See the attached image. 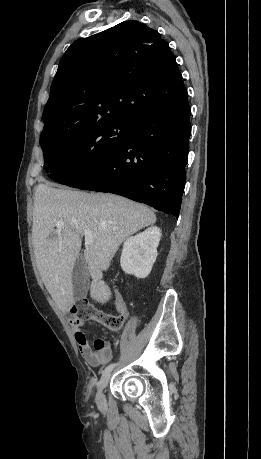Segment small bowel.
Instances as JSON below:
<instances>
[{
	"label": "small bowel",
	"mask_w": 261,
	"mask_h": 459,
	"mask_svg": "<svg viewBox=\"0 0 261 459\" xmlns=\"http://www.w3.org/2000/svg\"><path fill=\"white\" fill-rule=\"evenodd\" d=\"M114 304L118 312L126 318L128 316V309L117 289H114ZM70 325L79 351L87 363L91 366L97 367L103 366L111 360L113 351L112 346L108 341L98 338L94 341L93 346H91L84 333L82 322L73 317L70 320Z\"/></svg>",
	"instance_id": "obj_1"
}]
</instances>
